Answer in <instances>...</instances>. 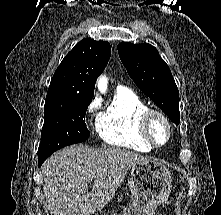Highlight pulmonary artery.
<instances>
[{
	"mask_svg": "<svg viewBox=\"0 0 221 215\" xmlns=\"http://www.w3.org/2000/svg\"><path fill=\"white\" fill-rule=\"evenodd\" d=\"M125 89L123 86H119L117 90H123Z\"/></svg>",
	"mask_w": 221,
	"mask_h": 215,
	"instance_id": "obj_1",
	"label": "pulmonary artery"
}]
</instances>
